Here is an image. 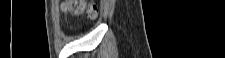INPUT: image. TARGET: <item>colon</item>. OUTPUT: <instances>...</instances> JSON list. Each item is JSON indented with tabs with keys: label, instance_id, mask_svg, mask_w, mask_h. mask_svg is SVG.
I'll return each mask as SVG.
<instances>
[{
	"label": "colon",
	"instance_id": "1",
	"mask_svg": "<svg viewBox=\"0 0 225 58\" xmlns=\"http://www.w3.org/2000/svg\"><path fill=\"white\" fill-rule=\"evenodd\" d=\"M67 9L72 14H75V15H78V14L83 13L84 11H87L89 16H91V17H94L98 12V9H97L94 1H85V0L70 1Z\"/></svg>",
	"mask_w": 225,
	"mask_h": 58
}]
</instances>
